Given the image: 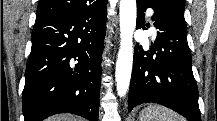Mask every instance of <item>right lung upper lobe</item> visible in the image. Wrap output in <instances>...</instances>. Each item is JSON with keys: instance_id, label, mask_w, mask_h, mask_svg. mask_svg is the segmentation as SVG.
I'll use <instances>...</instances> for the list:
<instances>
[{"instance_id": "right-lung-upper-lobe-1", "label": "right lung upper lobe", "mask_w": 217, "mask_h": 121, "mask_svg": "<svg viewBox=\"0 0 217 121\" xmlns=\"http://www.w3.org/2000/svg\"><path fill=\"white\" fill-rule=\"evenodd\" d=\"M89 5V0H39L36 21L77 12Z\"/></svg>"}]
</instances>
